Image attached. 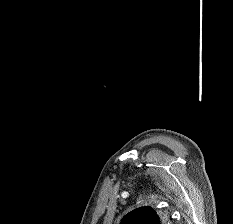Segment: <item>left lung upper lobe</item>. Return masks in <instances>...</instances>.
<instances>
[{
	"mask_svg": "<svg viewBox=\"0 0 233 224\" xmlns=\"http://www.w3.org/2000/svg\"><path fill=\"white\" fill-rule=\"evenodd\" d=\"M169 220L151 207L137 208L122 219L121 224H167Z\"/></svg>",
	"mask_w": 233,
	"mask_h": 224,
	"instance_id": "1",
	"label": "left lung upper lobe"
}]
</instances>
